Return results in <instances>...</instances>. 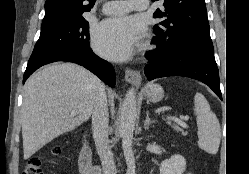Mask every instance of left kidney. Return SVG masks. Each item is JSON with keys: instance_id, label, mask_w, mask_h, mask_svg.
I'll return each mask as SVG.
<instances>
[{"instance_id": "5707ae66", "label": "left kidney", "mask_w": 249, "mask_h": 174, "mask_svg": "<svg viewBox=\"0 0 249 174\" xmlns=\"http://www.w3.org/2000/svg\"><path fill=\"white\" fill-rule=\"evenodd\" d=\"M186 169V160L183 156L175 154L170 159L161 162L160 174H183Z\"/></svg>"}]
</instances>
